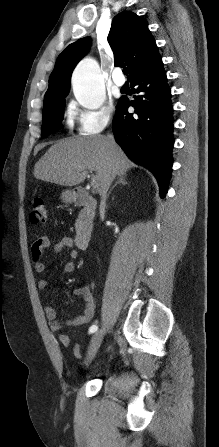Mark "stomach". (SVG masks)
Here are the masks:
<instances>
[{
  "mask_svg": "<svg viewBox=\"0 0 219 447\" xmlns=\"http://www.w3.org/2000/svg\"><path fill=\"white\" fill-rule=\"evenodd\" d=\"M77 194L75 190H65L61 194V199L65 203H72L76 200Z\"/></svg>",
  "mask_w": 219,
  "mask_h": 447,
  "instance_id": "1",
  "label": "stomach"
}]
</instances>
